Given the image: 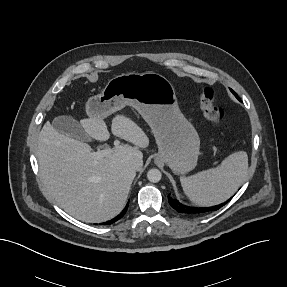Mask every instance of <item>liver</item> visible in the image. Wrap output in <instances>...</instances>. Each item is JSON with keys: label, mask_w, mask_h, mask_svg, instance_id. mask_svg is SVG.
<instances>
[{"label": "liver", "mask_w": 287, "mask_h": 287, "mask_svg": "<svg viewBox=\"0 0 287 287\" xmlns=\"http://www.w3.org/2000/svg\"><path fill=\"white\" fill-rule=\"evenodd\" d=\"M81 124L98 141L110 137L102 117L82 119ZM111 131L134 146L119 145L101 159L93 157L89 144L59 133L50 122L39 134L36 156L43 184L57 204L78 220L99 223L122 211L136 176L130 162L142 159L138 148L149 146L145 132L124 115L113 118Z\"/></svg>", "instance_id": "6515ba94"}]
</instances>
